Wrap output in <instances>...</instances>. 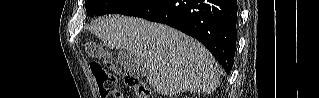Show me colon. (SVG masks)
<instances>
[{"mask_svg": "<svg viewBox=\"0 0 319 98\" xmlns=\"http://www.w3.org/2000/svg\"><path fill=\"white\" fill-rule=\"evenodd\" d=\"M91 72L95 78L101 97L120 98L121 94L117 89L118 77L115 74L107 72L100 64L92 63L90 66ZM124 83L128 88L133 90L136 98H148L149 89L141 80L130 74L123 76Z\"/></svg>", "mask_w": 319, "mask_h": 98, "instance_id": "obj_1", "label": "colon"}]
</instances>
